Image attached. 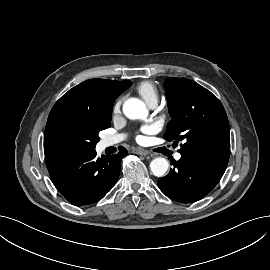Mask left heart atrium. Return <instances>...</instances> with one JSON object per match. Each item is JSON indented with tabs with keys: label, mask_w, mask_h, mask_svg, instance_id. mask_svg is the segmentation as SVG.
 I'll return each mask as SVG.
<instances>
[{
	"label": "left heart atrium",
	"mask_w": 270,
	"mask_h": 270,
	"mask_svg": "<svg viewBox=\"0 0 270 270\" xmlns=\"http://www.w3.org/2000/svg\"><path fill=\"white\" fill-rule=\"evenodd\" d=\"M145 129H146V131H151L153 129V127L148 125V126L145 127Z\"/></svg>",
	"instance_id": "obj_1"
}]
</instances>
